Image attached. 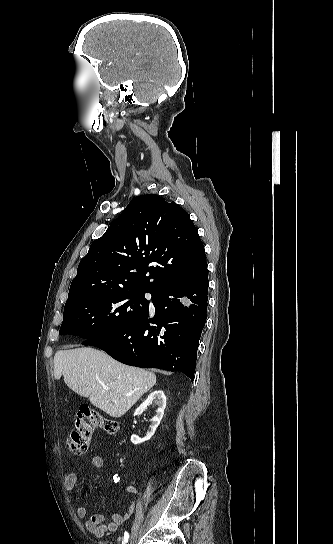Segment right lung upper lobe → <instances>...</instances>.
Returning a JSON list of instances; mask_svg holds the SVG:
<instances>
[{
	"mask_svg": "<svg viewBox=\"0 0 333 544\" xmlns=\"http://www.w3.org/2000/svg\"><path fill=\"white\" fill-rule=\"evenodd\" d=\"M206 269L204 246L188 213L156 194L138 196L91 244L66 303L116 290L153 294Z\"/></svg>",
	"mask_w": 333,
	"mask_h": 544,
	"instance_id": "1",
	"label": "right lung upper lobe"
}]
</instances>
